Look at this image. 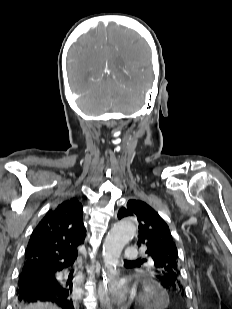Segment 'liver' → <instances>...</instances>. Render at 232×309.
Returning a JSON list of instances; mask_svg holds the SVG:
<instances>
[{"label":"liver","mask_w":232,"mask_h":309,"mask_svg":"<svg viewBox=\"0 0 232 309\" xmlns=\"http://www.w3.org/2000/svg\"><path fill=\"white\" fill-rule=\"evenodd\" d=\"M22 309H60V308L50 303H36L24 306Z\"/></svg>","instance_id":"liver-1"}]
</instances>
